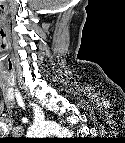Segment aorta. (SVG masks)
Here are the masks:
<instances>
[{
	"label": "aorta",
	"mask_w": 125,
	"mask_h": 143,
	"mask_svg": "<svg viewBox=\"0 0 125 143\" xmlns=\"http://www.w3.org/2000/svg\"><path fill=\"white\" fill-rule=\"evenodd\" d=\"M29 133L33 136H46L49 134L66 135L69 134L67 129L62 128L56 122L44 121L35 123Z\"/></svg>",
	"instance_id": "obj_1"
}]
</instances>
